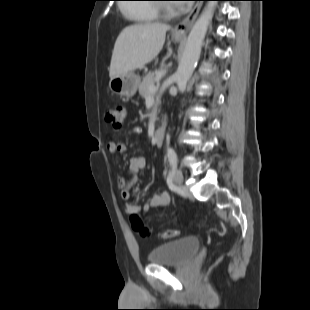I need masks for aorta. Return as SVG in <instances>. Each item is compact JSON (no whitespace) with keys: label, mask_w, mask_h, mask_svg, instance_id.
Returning <instances> with one entry per match:
<instances>
[{"label":"aorta","mask_w":310,"mask_h":310,"mask_svg":"<svg viewBox=\"0 0 310 310\" xmlns=\"http://www.w3.org/2000/svg\"><path fill=\"white\" fill-rule=\"evenodd\" d=\"M215 6V1L208 2L188 35L185 50L175 75L176 83L179 88L186 87L187 82L194 71Z\"/></svg>","instance_id":"762f6f07"}]
</instances>
